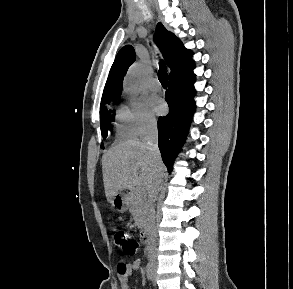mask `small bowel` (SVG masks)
<instances>
[{
    "mask_svg": "<svg viewBox=\"0 0 293 289\" xmlns=\"http://www.w3.org/2000/svg\"><path fill=\"white\" fill-rule=\"evenodd\" d=\"M141 267V263L140 262H134L132 265H131V269L132 270H136V269H139ZM122 289H129L128 288V285L127 283L124 281L122 283Z\"/></svg>",
    "mask_w": 293,
    "mask_h": 289,
    "instance_id": "1",
    "label": "small bowel"
}]
</instances>
